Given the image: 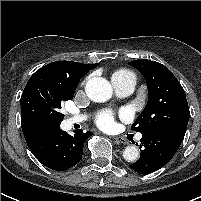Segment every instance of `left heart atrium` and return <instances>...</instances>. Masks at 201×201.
Segmentation results:
<instances>
[{"label": "left heart atrium", "instance_id": "left-heart-atrium-1", "mask_svg": "<svg viewBox=\"0 0 201 201\" xmlns=\"http://www.w3.org/2000/svg\"><path fill=\"white\" fill-rule=\"evenodd\" d=\"M96 123L100 128L104 130L111 129L114 126V116L112 112H101L96 119Z\"/></svg>", "mask_w": 201, "mask_h": 201}]
</instances>
